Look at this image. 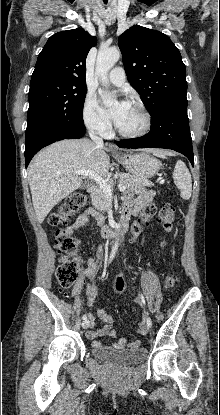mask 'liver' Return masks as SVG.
<instances>
[{
    "instance_id": "obj_1",
    "label": "liver",
    "mask_w": 220,
    "mask_h": 415,
    "mask_svg": "<svg viewBox=\"0 0 220 415\" xmlns=\"http://www.w3.org/2000/svg\"><path fill=\"white\" fill-rule=\"evenodd\" d=\"M109 149L88 139H65L39 152L28 169L32 202L39 223L52 208L78 189L82 179L74 172L91 170L101 177L109 174Z\"/></svg>"
}]
</instances>
